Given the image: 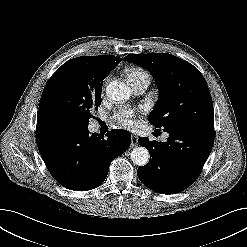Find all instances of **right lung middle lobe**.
<instances>
[{"instance_id": "obj_1", "label": "right lung middle lobe", "mask_w": 247, "mask_h": 247, "mask_svg": "<svg viewBox=\"0 0 247 247\" xmlns=\"http://www.w3.org/2000/svg\"><path fill=\"white\" fill-rule=\"evenodd\" d=\"M103 80L78 58L67 61L48 80L38 115L50 116L77 127H88L91 112L101 105Z\"/></svg>"}]
</instances>
